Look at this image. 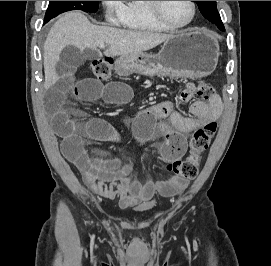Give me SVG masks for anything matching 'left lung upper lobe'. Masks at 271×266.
<instances>
[{"instance_id": "1", "label": "left lung upper lobe", "mask_w": 271, "mask_h": 266, "mask_svg": "<svg viewBox=\"0 0 271 266\" xmlns=\"http://www.w3.org/2000/svg\"><path fill=\"white\" fill-rule=\"evenodd\" d=\"M202 15L214 23L220 30L224 28L221 17L217 11L216 1H195Z\"/></svg>"}]
</instances>
